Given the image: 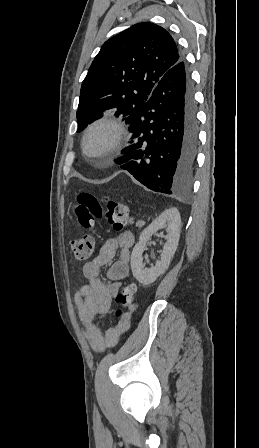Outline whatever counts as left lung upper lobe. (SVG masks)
<instances>
[{"instance_id": "left-lung-upper-lobe-1", "label": "left lung upper lobe", "mask_w": 259, "mask_h": 448, "mask_svg": "<svg viewBox=\"0 0 259 448\" xmlns=\"http://www.w3.org/2000/svg\"><path fill=\"white\" fill-rule=\"evenodd\" d=\"M182 58L164 28L138 23L107 40L82 83L77 110L78 131L116 108L126 120L143 107L161 77Z\"/></svg>"}]
</instances>
